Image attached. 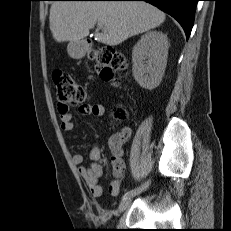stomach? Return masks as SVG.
Here are the masks:
<instances>
[{
	"mask_svg": "<svg viewBox=\"0 0 231 231\" xmlns=\"http://www.w3.org/2000/svg\"><path fill=\"white\" fill-rule=\"evenodd\" d=\"M67 50H68V54L73 58H79L85 52V49L82 47L80 41H71L68 44Z\"/></svg>",
	"mask_w": 231,
	"mask_h": 231,
	"instance_id": "obj_1",
	"label": "stomach"
}]
</instances>
